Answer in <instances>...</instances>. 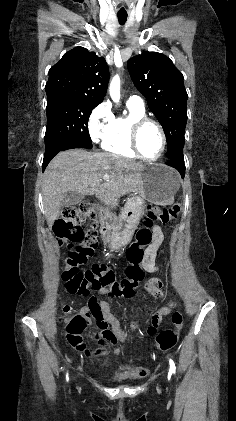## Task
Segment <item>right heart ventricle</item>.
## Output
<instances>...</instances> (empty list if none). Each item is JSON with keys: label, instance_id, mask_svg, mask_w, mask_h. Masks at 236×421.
<instances>
[{"label": "right heart ventricle", "instance_id": "e07e8e85", "mask_svg": "<svg viewBox=\"0 0 236 421\" xmlns=\"http://www.w3.org/2000/svg\"><path fill=\"white\" fill-rule=\"evenodd\" d=\"M128 112L113 120L101 140V148L120 158L137 159V155L131 147L128 128L135 118L145 116V109L142 105L131 102L127 103Z\"/></svg>", "mask_w": 236, "mask_h": 421}]
</instances>
